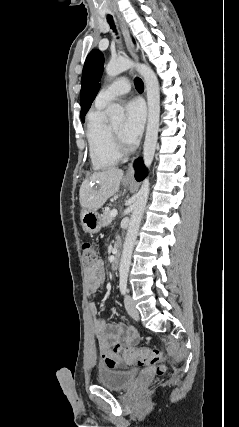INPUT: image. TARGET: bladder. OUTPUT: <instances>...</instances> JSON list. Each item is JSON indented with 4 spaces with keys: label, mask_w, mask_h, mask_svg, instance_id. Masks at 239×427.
<instances>
[{
    "label": "bladder",
    "mask_w": 239,
    "mask_h": 427,
    "mask_svg": "<svg viewBox=\"0 0 239 427\" xmlns=\"http://www.w3.org/2000/svg\"><path fill=\"white\" fill-rule=\"evenodd\" d=\"M138 376L139 371L136 369L119 370L101 367L98 371V382L109 389L123 390L133 385Z\"/></svg>",
    "instance_id": "31cf9c89"
}]
</instances>
